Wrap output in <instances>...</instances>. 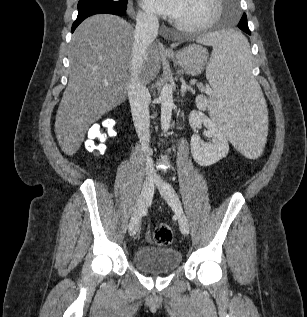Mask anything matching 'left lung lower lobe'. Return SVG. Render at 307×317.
Here are the masks:
<instances>
[{
    "mask_svg": "<svg viewBox=\"0 0 307 317\" xmlns=\"http://www.w3.org/2000/svg\"><path fill=\"white\" fill-rule=\"evenodd\" d=\"M238 27H239L242 31H244L245 33H247V34H249V35L251 34V33H250V30H249V28H248L247 20H243V21L239 22Z\"/></svg>",
    "mask_w": 307,
    "mask_h": 317,
    "instance_id": "obj_1",
    "label": "left lung lower lobe"
}]
</instances>
